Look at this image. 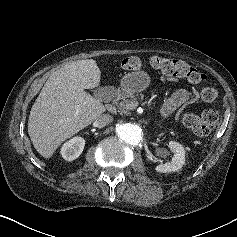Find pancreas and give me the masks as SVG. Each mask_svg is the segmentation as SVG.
<instances>
[{
    "mask_svg": "<svg viewBox=\"0 0 237 237\" xmlns=\"http://www.w3.org/2000/svg\"><path fill=\"white\" fill-rule=\"evenodd\" d=\"M139 98L137 96H131L129 99L123 100L118 103V108L121 112L127 113L138 104Z\"/></svg>",
    "mask_w": 237,
    "mask_h": 237,
    "instance_id": "1",
    "label": "pancreas"
}]
</instances>
